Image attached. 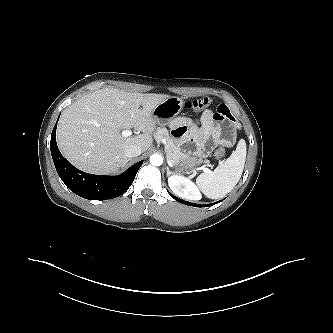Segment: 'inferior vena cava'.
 <instances>
[{
  "mask_svg": "<svg viewBox=\"0 0 333 333\" xmlns=\"http://www.w3.org/2000/svg\"><path fill=\"white\" fill-rule=\"evenodd\" d=\"M142 152H143L142 148H140L137 145H129L124 148V154L128 158L137 157L141 155Z\"/></svg>",
  "mask_w": 333,
  "mask_h": 333,
  "instance_id": "1",
  "label": "inferior vena cava"
}]
</instances>
